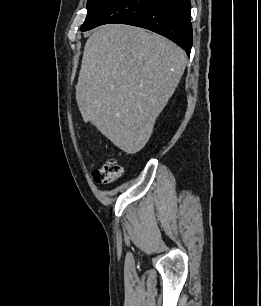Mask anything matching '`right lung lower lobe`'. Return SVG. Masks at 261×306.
Returning <instances> with one entry per match:
<instances>
[{"mask_svg":"<svg viewBox=\"0 0 261 306\" xmlns=\"http://www.w3.org/2000/svg\"><path fill=\"white\" fill-rule=\"evenodd\" d=\"M190 6V0H113L81 31L108 23L129 24L169 38L190 55L193 41Z\"/></svg>","mask_w":261,"mask_h":306,"instance_id":"98d812e1","label":"right lung lower lobe"}]
</instances>
